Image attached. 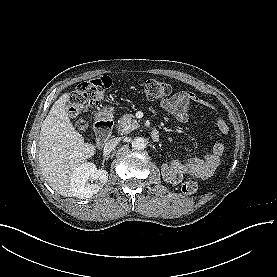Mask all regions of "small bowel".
Wrapping results in <instances>:
<instances>
[{"mask_svg":"<svg viewBox=\"0 0 277 277\" xmlns=\"http://www.w3.org/2000/svg\"><path fill=\"white\" fill-rule=\"evenodd\" d=\"M192 104L208 109L214 108L211 103L201 99L190 91H179L170 98L163 99L160 102L161 107L180 122L188 120V111ZM217 127L222 133H226L228 131L226 122L220 118L217 119ZM223 151L224 146L221 143H217L213 147L212 155L210 158H207V160L190 158L181 163L174 159L170 162V167L179 168L185 174H194L206 177L220 164Z\"/></svg>","mask_w":277,"mask_h":277,"instance_id":"c3829d8e","label":"small bowel"}]
</instances>
